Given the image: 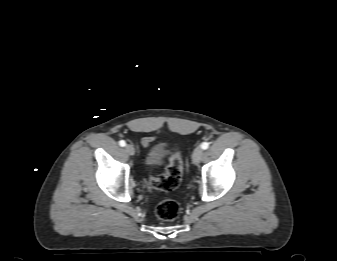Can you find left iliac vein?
<instances>
[{
	"mask_svg": "<svg viewBox=\"0 0 337 261\" xmlns=\"http://www.w3.org/2000/svg\"><path fill=\"white\" fill-rule=\"evenodd\" d=\"M203 154H204V151L201 147H197L195 148V150L193 151V154H192V161L194 164H198L202 157H203Z\"/></svg>",
	"mask_w": 337,
	"mask_h": 261,
	"instance_id": "obj_1",
	"label": "left iliac vein"
}]
</instances>
